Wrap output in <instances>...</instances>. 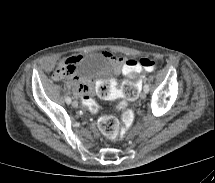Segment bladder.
Instances as JSON below:
<instances>
[{
  "mask_svg": "<svg viewBox=\"0 0 215 183\" xmlns=\"http://www.w3.org/2000/svg\"><path fill=\"white\" fill-rule=\"evenodd\" d=\"M76 70L82 76L90 79L116 77V63L100 53H89L82 56L76 64Z\"/></svg>",
  "mask_w": 215,
  "mask_h": 183,
  "instance_id": "1",
  "label": "bladder"
}]
</instances>
